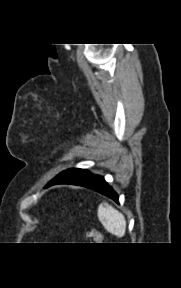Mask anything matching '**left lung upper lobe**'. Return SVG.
Instances as JSON below:
<instances>
[{
    "label": "left lung upper lobe",
    "mask_w": 181,
    "mask_h": 288,
    "mask_svg": "<svg viewBox=\"0 0 181 288\" xmlns=\"http://www.w3.org/2000/svg\"><path fill=\"white\" fill-rule=\"evenodd\" d=\"M90 175H92V173L85 169L73 168L59 173L51 181H56L60 184H76Z\"/></svg>",
    "instance_id": "1"
}]
</instances>
